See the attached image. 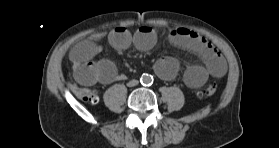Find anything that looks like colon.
Instances as JSON below:
<instances>
[{"label": "colon", "instance_id": "obj_1", "mask_svg": "<svg viewBox=\"0 0 279 148\" xmlns=\"http://www.w3.org/2000/svg\"><path fill=\"white\" fill-rule=\"evenodd\" d=\"M216 89H217V87H216L215 83H213V82L209 83L207 86H205L203 89H201L198 92V96L201 98L211 97L215 94ZM76 94L78 95L79 98H81L85 102L92 103V104L98 102L97 94L91 89L77 88Z\"/></svg>", "mask_w": 279, "mask_h": 148}]
</instances>
